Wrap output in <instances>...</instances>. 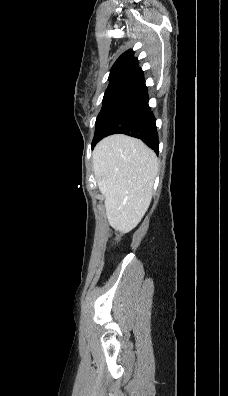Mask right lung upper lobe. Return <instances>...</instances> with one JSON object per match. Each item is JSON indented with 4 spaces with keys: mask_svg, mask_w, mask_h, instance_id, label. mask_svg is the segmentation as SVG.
Returning a JSON list of instances; mask_svg holds the SVG:
<instances>
[{
    "mask_svg": "<svg viewBox=\"0 0 228 396\" xmlns=\"http://www.w3.org/2000/svg\"><path fill=\"white\" fill-rule=\"evenodd\" d=\"M143 77V71L138 66L134 52L128 50L123 53L111 68L109 86L127 87Z\"/></svg>",
    "mask_w": 228,
    "mask_h": 396,
    "instance_id": "obj_1",
    "label": "right lung upper lobe"
}]
</instances>
